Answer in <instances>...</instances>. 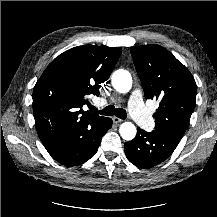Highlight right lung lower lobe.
<instances>
[{
  "instance_id": "obj_1",
  "label": "right lung lower lobe",
  "mask_w": 217,
  "mask_h": 217,
  "mask_svg": "<svg viewBox=\"0 0 217 217\" xmlns=\"http://www.w3.org/2000/svg\"><path fill=\"white\" fill-rule=\"evenodd\" d=\"M112 126V119L103 118L79 138L47 147L48 153L65 166H76L92 158L100 145L103 135Z\"/></svg>"
}]
</instances>
